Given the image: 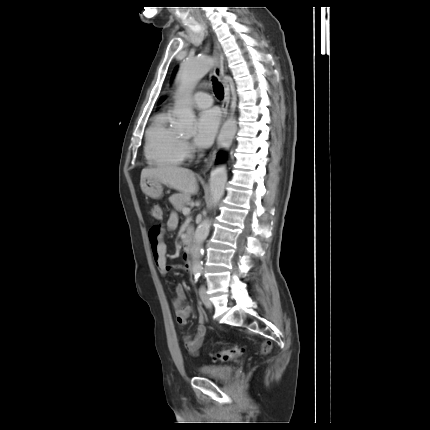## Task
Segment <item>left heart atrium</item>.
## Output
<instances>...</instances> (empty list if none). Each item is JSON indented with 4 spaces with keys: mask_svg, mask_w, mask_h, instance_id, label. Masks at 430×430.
Masks as SVG:
<instances>
[{
    "mask_svg": "<svg viewBox=\"0 0 430 430\" xmlns=\"http://www.w3.org/2000/svg\"><path fill=\"white\" fill-rule=\"evenodd\" d=\"M219 122L220 115L216 109L201 112L196 121L195 144L202 148L210 146L216 135Z\"/></svg>",
    "mask_w": 430,
    "mask_h": 430,
    "instance_id": "1",
    "label": "left heart atrium"
}]
</instances>
